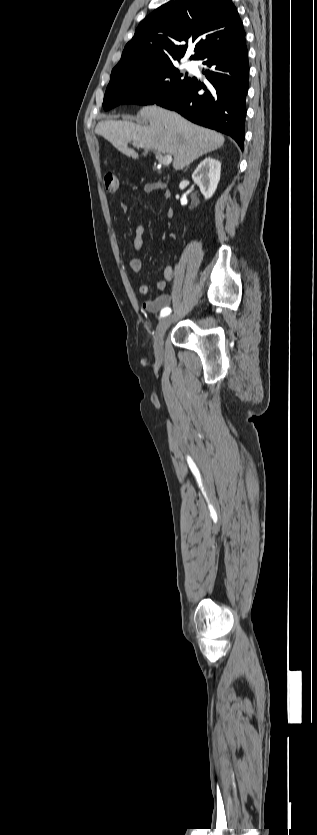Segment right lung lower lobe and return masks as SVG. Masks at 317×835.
Wrapping results in <instances>:
<instances>
[{
	"label": "right lung lower lobe",
	"mask_w": 317,
	"mask_h": 835,
	"mask_svg": "<svg viewBox=\"0 0 317 835\" xmlns=\"http://www.w3.org/2000/svg\"><path fill=\"white\" fill-rule=\"evenodd\" d=\"M198 60L210 68L203 71L210 85L205 87L192 78L155 103L196 124L230 135L243 150L249 75L245 39L210 50ZM202 89L204 94H198Z\"/></svg>",
	"instance_id": "98d812e1"
}]
</instances>
